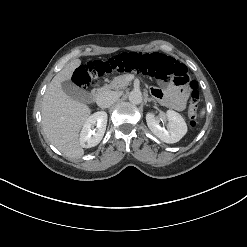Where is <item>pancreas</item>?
Returning a JSON list of instances; mask_svg holds the SVG:
<instances>
[{
  "mask_svg": "<svg viewBox=\"0 0 247 247\" xmlns=\"http://www.w3.org/2000/svg\"><path fill=\"white\" fill-rule=\"evenodd\" d=\"M129 84V81L127 80V75H120L113 79V81L102 88V91H108V90H121L124 89Z\"/></svg>",
  "mask_w": 247,
  "mask_h": 247,
  "instance_id": "cf45deb5",
  "label": "pancreas"
}]
</instances>
